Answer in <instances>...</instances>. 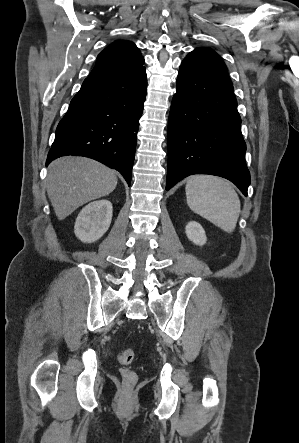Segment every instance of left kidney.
<instances>
[{
    "label": "left kidney",
    "mask_w": 299,
    "mask_h": 443,
    "mask_svg": "<svg viewBox=\"0 0 299 443\" xmlns=\"http://www.w3.org/2000/svg\"><path fill=\"white\" fill-rule=\"evenodd\" d=\"M185 232L188 239L196 245H204L207 241L205 231L198 222H189L185 228Z\"/></svg>",
    "instance_id": "obj_1"
}]
</instances>
